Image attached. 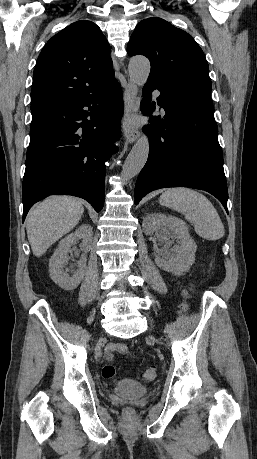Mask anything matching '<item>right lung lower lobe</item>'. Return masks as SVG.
Returning <instances> with one entry per match:
<instances>
[{
  "instance_id": "right-lung-lower-lobe-1",
  "label": "right lung lower lobe",
  "mask_w": 257,
  "mask_h": 459,
  "mask_svg": "<svg viewBox=\"0 0 257 459\" xmlns=\"http://www.w3.org/2000/svg\"><path fill=\"white\" fill-rule=\"evenodd\" d=\"M122 114L117 81L83 99L32 112L23 221L33 204L53 194L81 197L102 210L105 162L117 151L113 141L120 136Z\"/></svg>"
}]
</instances>
